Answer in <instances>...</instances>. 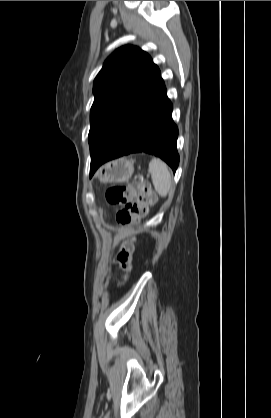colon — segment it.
I'll use <instances>...</instances> for the list:
<instances>
[{
	"label": "colon",
	"instance_id": "1",
	"mask_svg": "<svg viewBox=\"0 0 271 418\" xmlns=\"http://www.w3.org/2000/svg\"><path fill=\"white\" fill-rule=\"evenodd\" d=\"M106 199L110 204L120 206L116 214L117 222L122 226H129L147 214L149 206L155 202V194L147 182L134 181L130 184L110 186L106 191ZM133 251V243L126 242L115 258L120 269L126 274L132 270Z\"/></svg>",
	"mask_w": 271,
	"mask_h": 418
}]
</instances>
